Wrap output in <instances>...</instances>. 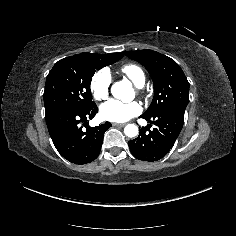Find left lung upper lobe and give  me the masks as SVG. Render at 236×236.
Masks as SVG:
<instances>
[{
    "label": "left lung upper lobe",
    "instance_id": "obj_1",
    "mask_svg": "<svg viewBox=\"0 0 236 236\" xmlns=\"http://www.w3.org/2000/svg\"><path fill=\"white\" fill-rule=\"evenodd\" d=\"M127 57L141 63L154 84V97L143 116H152L173 105L187 106L189 82L180 66L171 58L153 50L125 51Z\"/></svg>",
    "mask_w": 236,
    "mask_h": 236
}]
</instances>
